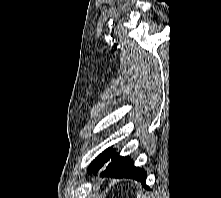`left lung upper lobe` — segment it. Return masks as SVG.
Here are the masks:
<instances>
[{
  "label": "left lung upper lobe",
  "instance_id": "left-lung-upper-lobe-1",
  "mask_svg": "<svg viewBox=\"0 0 221 198\" xmlns=\"http://www.w3.org/2000/svg\"><path fill=\"white\" fill-rule=\"evenodd\" d=\"M115 149L109 148L100 154L89 166L88 173H96L113 156Z\"/></svg>",
  "mask_w": 221,
  "mask_h": 198
}]
</instances>
